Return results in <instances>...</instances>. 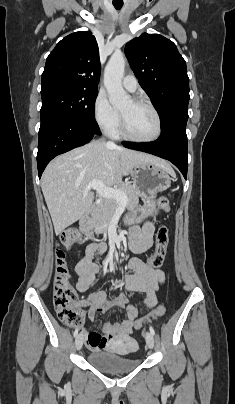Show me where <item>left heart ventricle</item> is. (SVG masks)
Returning a JSON list of instances; mask_svg holds the SVG:
<instances>
[{"label": "left heart ventricle", "mask_w": 235, "mask_h": 404, "mask_svg": "<svg viewBox=\"0 0 235 404\" xmlns=\"http://www.w3.org/2000/svg\"><path fill=\"white\" fill-rule=\"evenodd\" d=\"M129 132L140 139L151 138L156 132V118L150 109L136 105L132 101L121 109Z\"/></svg>", "instance_id": "left-heart-ventricle-1"}]
</instances>
